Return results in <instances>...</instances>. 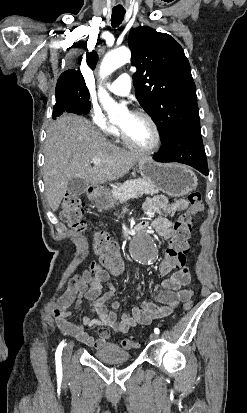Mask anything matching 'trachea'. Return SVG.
Returning <instances> with one entry per match:
<instances>
[{
	"mask_svg": "<svg viewBox=\"0 0 247 413\" xmlns=\"http://www.w3.org/2000/svg\"><path fill=\"white\" fill-rule=\"evenodd\" d=\"M125 11L112 12L111 24L113 27H118L124 20Z\"/></svg>",
	"mask_w": 247,
	"mask_h": 413,
	"instance_id": "obj_1",
	"label": "trachea"
}]
</instances>
